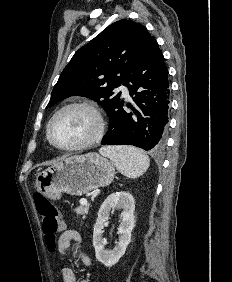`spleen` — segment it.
Segmentation results:
<instances>
[{"instance_id": "1", "label": "spleen", "mask_w": 232, "mask_h": 282, "mask_svg": "<svg viewBox=\"0 0 232 282\" xmlns=\"http://www.w3.org/2000/svg\"><path fill=\"white\" fill-rule=\"evenodd\" d=\"M100 153L110 158L116 168L129 178L141 176L150 165L145 152L132 146L103 147Z\"/></svg>"}]
</instances>
